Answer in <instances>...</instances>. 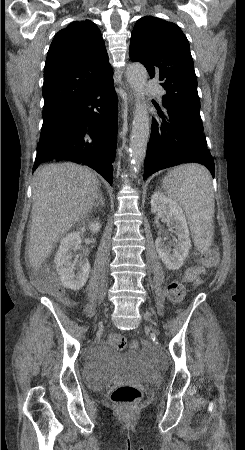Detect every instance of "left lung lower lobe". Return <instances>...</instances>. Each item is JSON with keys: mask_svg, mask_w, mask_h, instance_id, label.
<instances>
[{"mask_svg": "<svg viewBox=\"0 0 245 450\" xmlns=\"http://www.w3.org/2000/svg\"><path fill=\"white\" fill-rule=\"evenodd\" d=\"M159 114L152 119L144 180L161 169L188 162L204 164L214 177V161L203 128L177 107H165Z\"/></svg>", "mask_w": 245, "mask_h": 450, "instance_id": "0a47b994", "label": "left lung lower lobe"}]
</instances>
